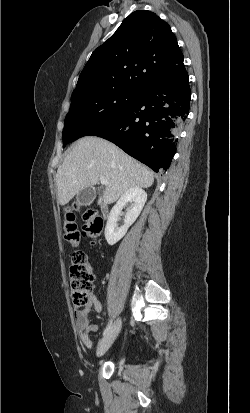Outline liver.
<instances>
[{
    "label": "liver",
    "instance_id": "1",
    "mask_svg": "<svg viewBox=\"0 0 250 413\" xmlns=\"http://www.w3.org/2000/svg\"><path fill=\"white\" fill-rule=\"evenodd\" d=\"M105 177L109 185L98 205L115 202L130 188H148L154 182L151 170L113 143L99 137L79 139L66 155L56 174L57 200L66 205L80 191Z\"/></svg>",
    "mask_w": 250,
    "mask_h": 413
}]
</instances>
